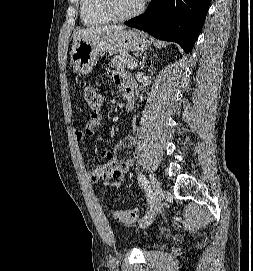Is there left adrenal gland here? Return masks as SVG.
I'll return each instance as SVG.
<instances>
[{
  "label": "left adrenal gland",
  "mask_w": 253,
  "mask_h": 271,
  "mask_svg": "<svg viewBox=\"0 0 253 271\" xmlns=\"http://www.w3.org/2000/svg\"><path fill=\"white\" fill-rule=\"evenodd\" d=\"M146 58H147V54L145 53L143 58H142V61L140 62L141 69H143L144 66H145Z\"/></svg>",
  "instance_id": "left-adrenal-gland-1"
}]
</instances>
